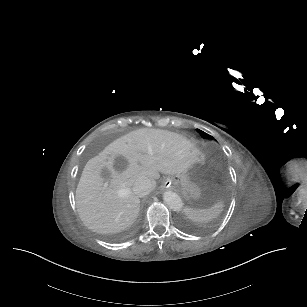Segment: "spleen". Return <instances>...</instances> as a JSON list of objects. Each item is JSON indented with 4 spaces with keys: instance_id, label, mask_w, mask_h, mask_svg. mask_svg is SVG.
<instances>
[{
    "instance_id": "1",
    "label": "spleen",
    "mask_w": 307,
    "mask_h": 307,
    "mask_svg": "<svg viewBox=\"0 0 307 307\" xmlns=\"http://www.w3.org/2000/svg\"><path fill=\"white\" fill-rule=\"evenodd\" d=\"M224 203L219 200L217 203L207 209H196L194 207H187L184 210V215L187 218L199 221H211L217 218L223 211Z\"/></svg>"
}]
</instances>
